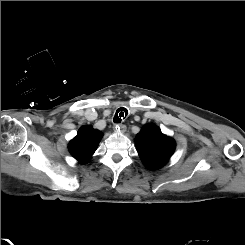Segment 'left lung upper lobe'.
Instances as JSON below:
<instances>
[{"instance_id":"1","label":"left lung upper lobe","mask_w":245,"mask_h":245,"mask_svg":"<svg viewBox=\"0 0 245 245\" xmlns=\"http://www.w3.org/2000/svg\"><path fill=\"white\" fill-rule=\"evenodd\" d=\"M135 140L143 164L151 170L164 166L176 148L175 140L163 134L154 124L145 125Z\"/></svg>"}]
</instances>
